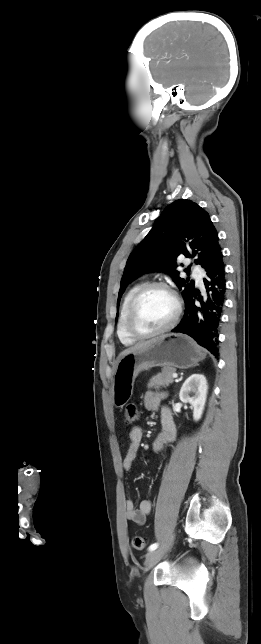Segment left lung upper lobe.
Wrapping results in <instances>:
<instances>
[{
  "instance_id": "left-lung-upper-lobe-1",
  "label": "left lung upper lobe",
  "mask_w": 261,
  "mask_h": 644,
  "mask_svg": "<svg viewBox=\"0 0 261 644\" xmlns=\"http://www.w3.org/2000/svg\"><path fill=\"white\" fill-rule=\"evenodd\" d=\"M220 252L218 234L209 214L191 200L171 203L130 254L121 279L117 304L133 279L157 270L172 272L186 303L194 292V285L178 276L175 270L177 258L181 255L195 258L194 263L205 269ZM185 271H189V268Z\"/></svg>"
}]
</instances>
